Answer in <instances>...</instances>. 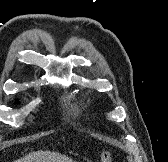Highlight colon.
<instances>
[{"label": "colon", "mask_w": 168, "mask_h": 162, "mask_svg": "<svg viewBox=\"0 0 168 162\" xmlns=\"http://www.w3.org/2000/svg\"><path fill=\"white\" fill-rule=\"evenodd\" d=\"M100 162H113V155L110 151L102 152Z\"/></svg>", "instance_id": "colon-1"}]
</instances>
